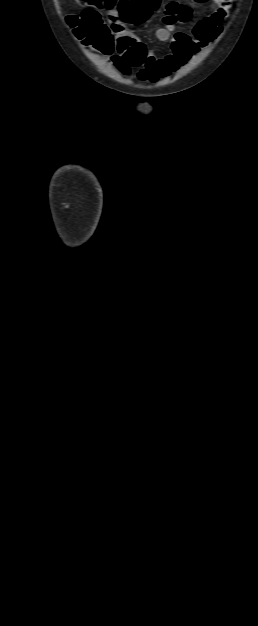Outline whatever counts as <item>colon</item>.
Instances as JSON below:
<instances>
[{"label": "colon", "mask_w": 258, "mask_h": 626, "mask_svg": "<svg viewBox=\"0 0 258 626\" xmlns=\"http://www.w3.org/2000/svg\"><path fill=\"white\" fill-rule=\"evenodd\" d=\"M81 5L89 6L80 15L68 16V22L76 35L85 43L94 46L103 53L113 50V40L109 29L103 24L98 10H111L116 6L122 11L124 19L132 24L144 21L155 10L160 0H78ZM143 46L133 49L131 62L139 65L145 58Z\"/></svg>", "instance_id": "colon-1"}]
</instances>
